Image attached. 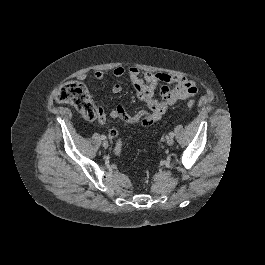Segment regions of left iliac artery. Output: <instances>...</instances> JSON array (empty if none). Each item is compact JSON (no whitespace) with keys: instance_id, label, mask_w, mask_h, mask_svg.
Here are the masks:
<instances>
[{"instance_id":"obj_1","label":"left iliac artery","mask_w":265,"mask_h":265,"mask_svg":"<svg viewBox=\"0 0 265 265\" xmlns=\"http://www.w3.org/2000/svg\"><path fill=\"white\" fill-rule=\"evenodd\" d=\"M169 136H170V137H173V136H174V133H173V132H170V133H169Z\"/></svg>"}]
</instances>
